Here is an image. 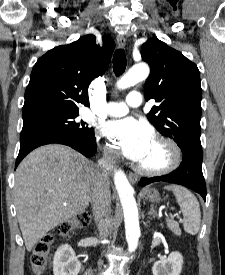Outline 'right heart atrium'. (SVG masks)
<instances>
[{
    "mask_svg": "<svg viewBox=\"0 0 225 275\" xmlns=\"http://www.w3.org/2000/svg\"><path fill=\"white\" fill-rule=\"evenodd\" d=\"M104 155L108 161L114 162L116 159V154L110 146L105 147Z\"/></svg>",
    "mask_w": 225,
    "mask_h": 275,
    "instance_id": "obj_1",
    "label": "right heart atrium"
}]
</instances>
